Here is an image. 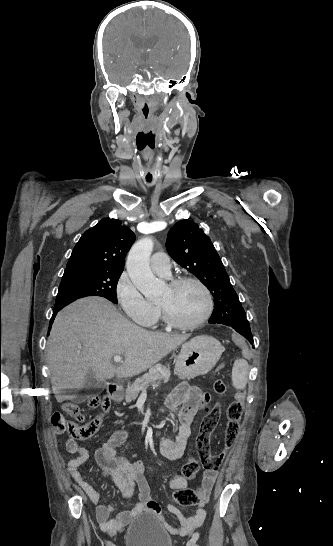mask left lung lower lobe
<instances>
[{"instance_id": "0a47b994", "label": "left lung lower lobe", "mask_w": 333, "mask_h": 546, "mask_svg": "<svg viewBox=\"0 0 333 546\" xmlns=\"http://www.w3.org/2000/svg\"><path fill=\"white\" fill-rule=\"evenodd\" d=\"M209 323H212V324L213 323H218V324H223V325L230 326V327L234 328L238 333L243 335L251 344L254 342L253 337H252V333H251V330H250V325H249V322H248L247 319L238 320L233 325L220 323V322L216 321L215 319H210Z\"/></svg>"}]
</instances>
